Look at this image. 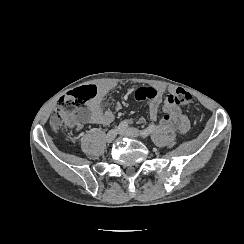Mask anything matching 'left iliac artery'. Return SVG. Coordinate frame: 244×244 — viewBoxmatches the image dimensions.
Returning a JSON list of instances; mask_svg holds the SVG:
<instances>
[{"instance_id": "1", "label": "left iliac artery", "mask_w": 244, "mask_h": 244, "mask_svg": "<svg viewBox=\"0 0 244 244\" xmlns=\"http://www.w3.org/2000/svg\"><path fill=\"white\" fill-rule=\"evenodd\" d=\"M155 128H156V126L154 124L153 125H150L146 129L142 130L140 132V134H141L142 137H147V136H149L155 130Z\"/></svg>"}]
</instances>
